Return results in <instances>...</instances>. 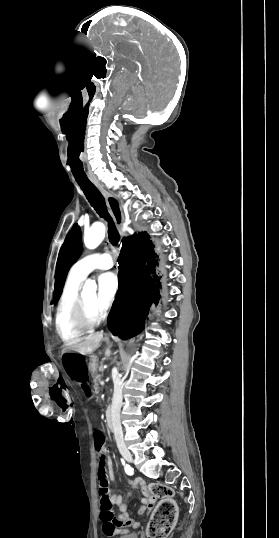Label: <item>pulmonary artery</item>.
I'll return each mask as SVG.
<instances>
[{"instance_id":"e3ab8cb5","label":"pulmonary artery","mask_w":279,"mask_h":538,"mask_svg":"<svg viewBox=\"0 0 279 538\" xmlns=\"http://www.w3.org/2000/svg\"><path fill=\"white\" fill-rule=\"evenodd\" d=\"M114 254L110 251L104 253H93L84 256L71 268V272L78 277H87L95 270H105L114 263Z\"/></svg>"}]
</instances>
